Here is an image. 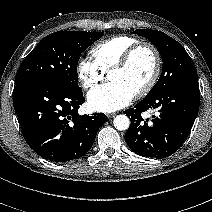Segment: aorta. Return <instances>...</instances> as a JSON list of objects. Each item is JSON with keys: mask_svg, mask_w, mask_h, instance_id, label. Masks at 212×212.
<instances>
[{"mask_svg": "<svg viewBox=\"0 0 212 212\" xmlns=\"http://www.w3.org/2000/svg\"><path fill=\"white\" fill-rule=\"evenodd\" d=\"M113 124H114V127L117 129V130H127L130 126V120L129 118L122 114V115H117L115 118H114V121H113Z\"/></svg>", "mask_w": 212, "mask_h": 212, "instance_id": "1", "label": "aorta"}]
</instances>
